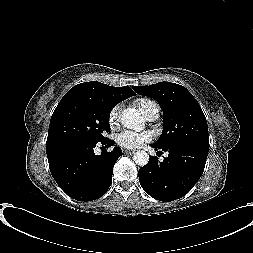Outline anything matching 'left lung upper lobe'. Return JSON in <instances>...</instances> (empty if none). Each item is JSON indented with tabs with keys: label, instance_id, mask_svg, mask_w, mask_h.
I'll use <instances>...</instances> for the list:
<instances>
[{
	"label": "left lung upper lobe",
	"instance_id": "1",
	"mask_svg": "<svg viewBox=\"0 0 253 253\" xmlns=\"http://www.w3.org/2000/svg\"><path fill=\"white\" fill-rule=\"evenodd\" d=\"M140 95L155 99L164 114L163 133L154 145L165 148L180 142L209 147L208 126L205 115L193 95L183 86L159 82L149 86H136Z\"/></svg>",
	"mask_w": 253,
	"mask_h": 253
}]
</instances>
